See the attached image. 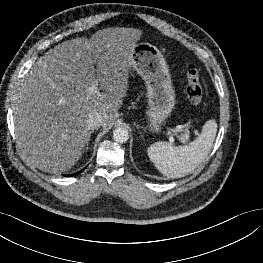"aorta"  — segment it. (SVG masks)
Segmentation results:
<instances>
[{
	"label": "aorta",
	"mask_w": 263,
	"mask_h": 263,
	"mask_svg": "<svg viewBox=\"0 0 263 263\" xmlns=\"http://www.w3.org/2000/svg\"><path fill=\"white\" fill-rule=\"evenodd\" d=\"M113 139L117 143H125L129 139L128 130L118 127L113 131Z\"/></svg>",
	"instance_id": "obj_1"
}]
</instances>
